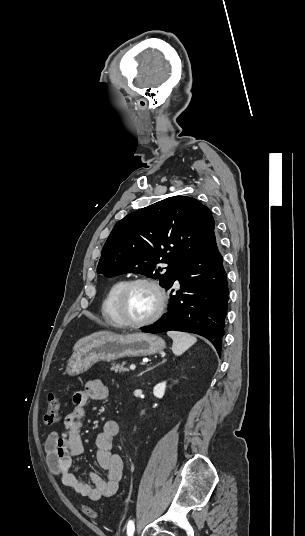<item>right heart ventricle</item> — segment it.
I'll list each match as a JSON object with an SVG mask.
<instances>
[{
    "label": "right heart ventricle",
    "instance_id": "obj_1",
    "mask_svg": "<svg viewBox=\"0 0 305 536\" xmlns=\"http://www.w3.org/2000/svg\"><path fill=\"white\" fill-rule=\"evenodd\" d=\"M125 279H118L111 284L109 289L106 292V295L103 299L101 306V315L103 320L110 326L121 327L122 322L119 318L116 311V298L121 289L125 284Z\"/></svg>",
    "mask_w": 305,
    "mask_h": 536
}]
</instances>
